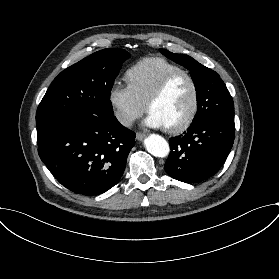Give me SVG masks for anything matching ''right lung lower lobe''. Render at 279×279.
I'll list each match as a JSON object with an SVG mask.
<instances>
[{"mask_svg":"<svg viewBox=\"0 0 279 279\" xmlns=\"http://www.w3.org/2000/svg\"><path fill=\"white\" fill-rule=\"evenodd\" d=\"M37 143L41 160L60 184L94 196L120 180L135 133L114 115L59 113L37 123Z\"/></svg>","mask_w":279,"mask_h":279,"instance_id":"98d812e1","label":"right lung lower lobe"}]
</instances>
